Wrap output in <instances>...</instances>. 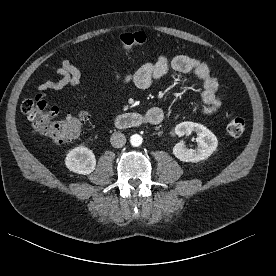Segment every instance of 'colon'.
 Returning <instances> with one entry per match:
<instances>
[{
  "label": "colon",
  "instance_id": "5ec220e1",
  "mask_svg": "<svg viewBox=\"0 0 276 276\" xmlns=\"http://www.w3.org/2000/svg\"><path fill=\"white\" fill-rule=\"evenodd\" d=\"M147 41L143 32L125 33L120 35L117 48L131 51ZM21 111L27 117L33 129L40 135L61 144L75 139L87 121L84 113L76 116H60L58 108L50 106L43 94L26 99L21 104ZM246 129V120L241 116L232 118L227 125V132L232 137L241 136Z\"/></svg>",
  "mask_w": 276,
  "mask_h": 276
}]
</instances>
